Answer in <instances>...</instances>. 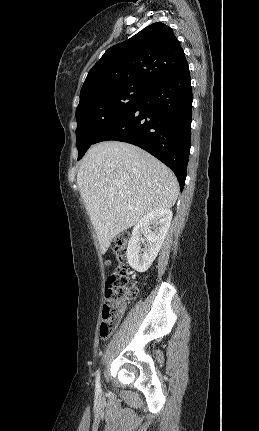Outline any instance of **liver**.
<instances>
[{
  "label": "liver",
  "instance_id": "obj_1",
  "mask_svg": "<svg viewBox=\"0 0 259 431\" xmlns=\"http://www.w3.org/2000/svg\"><path fill=\"white\" fill-rule=\"evenodd\" d=\"M77 183L102 254L118 234L148 213L171 208L178 197L174 173L143 149L124 142L92 146Z\"/></svg>",
  "mask_w": 259,
  "mask_h": 431
}]
</instances>
